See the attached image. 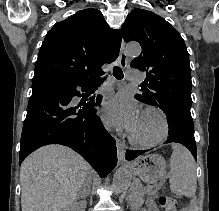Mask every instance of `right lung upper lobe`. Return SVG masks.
<instances>
[{
  "label": "right lung upper lobe",
  "instance_id": "obj_1",
  "mask_svg": "<svg viewBox=\"0 0 219 211\" xmlns=\"http://www.w3.org/2000/svg\"><path fill=\"white\" fill-rule=\"evenodd\" d=\"M121 32L97 9H84L56 23L40 48L32 83L91 81L119 53Z\"/></svg>",
  "mask_w": 219,
  "mask_h": 211
}]
</instances>
